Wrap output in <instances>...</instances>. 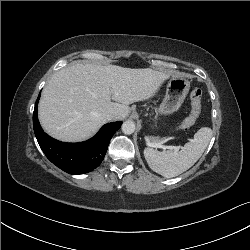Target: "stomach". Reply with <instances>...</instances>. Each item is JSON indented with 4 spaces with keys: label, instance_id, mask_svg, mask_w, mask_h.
Wrapping results in <instances>:
<instances>
[{
    "label": "stomach",
    "instance_id": "1",
    "mask_svg": "<svg viewBox=\"0 0 250 250\" xmlns=\"http://www.w3.org/2000/svg\"><path fill=\"white\" fill-rule=\"evenodd\" d=\"M190 89V82L180 76H173L167 85L165 97L160 106L155 110L158 115H170L178 111L183 104ZM157 128V125L153 126Z\"/></svg>",
    "mask_w": 250,
    "mask_h": 250
}]
</instances>
